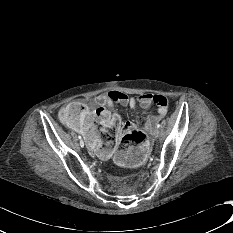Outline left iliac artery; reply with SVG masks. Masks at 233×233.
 <instances>
[{"label":"left iliac artery","instance_id":"44dca946","mask_svg":"<svg viewBox=\"0 0 233 233\" xmlns=\"http://www.w3.org/2000/svg\"><path fill=\"white\" fill-rule=\"evenodd\" d=\"M156 127H157V128H160V127H161L160 123H157V124H156Z\"/></svg>","mask_w":233,"mask_h":233}]
</instances>
